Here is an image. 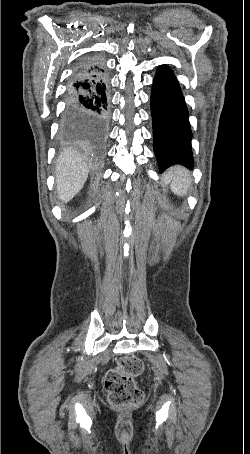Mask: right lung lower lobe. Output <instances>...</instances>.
Instances as JSON below:
<instances>
[{"label":"right lung lower lobe","mask_w":250,"mask_h":454,"mask_svg":"<svg viewBox=\"0 0 250 454\" xmlns=\"http://www.w3.org/2000/svg\"><path fill=\"white\" fill-rule=\"evenodd\" d=\"M108 90L104 60L90 54L75 66L66 91L64 126L79 140L98 148L107 138Z\"/></svg>","instance_id":"1"}]
</instances>
